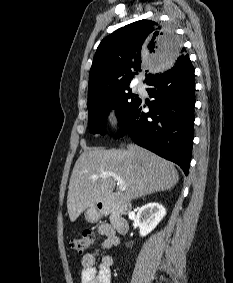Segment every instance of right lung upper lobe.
<instances>
[{
    "instance_id": "obj_1",
    "label": "right lung upper lobe",
    "mask_w": 233,
    "mask_h": 283,
    "mask_svg": "<svg viewBox=\"0 0 233 283\" xmlns=\"http://www.w3.org/2000/svg\"><path fill=\"white\" fill-rule=\"evenodd\" d=\"M186 55L189 50L182 49L174 32L158 22L139 20L119 28L101 41L95 53L89 73L88 107L129 89L138 71L148 83ZM152 70L156 72L152 74Z\"/></svg>"
}]
</instances>
